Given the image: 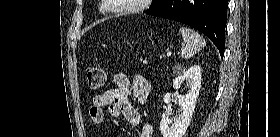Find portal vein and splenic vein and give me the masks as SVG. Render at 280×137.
I'll use <instances>...</instances> for the list:
<instances>
[{
    "instance_id": "portal-vein-and-splenic-vein-1",
    "label": "portal vein and splenic vein",
    "mask_w": 280,
    "mask_h": 137,
    "mask_svg": "<svg viewBox=\"0 0 280 137\" xmlns=\"http://www.w3.org/2000/svg\"><path fill=\"white\" fill-rule=\"evenodd\" d=\"M171 54H172V52H171V51H168V52H167V57H170Z\"/></svg>"
}]
</instances>
